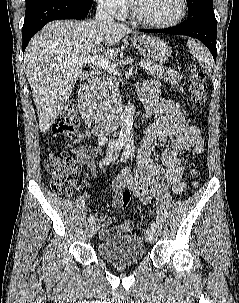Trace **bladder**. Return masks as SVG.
Wrapping results in <instances>:
<instances>
[{
  "instance_id": "bladder-1",
  "label": "bladder",
  "mask_w": 239,
  "mask_h": 303,
  "mask_svg": "<svg viewBox=\"0 0 239 303\" xmlns=\"http://www.w3.org/2000/svg\"><path fill=\"white\" fill-rule=\"evenodd\" d=\"M101 257L117 266L138 263L145 255V244L138 234H128L113 238L98 245Z\"/></svg>"
}]
</instances>
